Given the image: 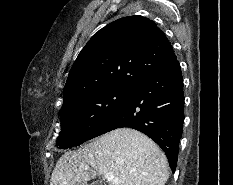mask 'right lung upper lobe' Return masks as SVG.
I'll return each mask as SVG.
<instances>
[{
  "label": "right lung upper lobe",
  "mask_w": 233,
  "mask_h": 185,
  "mask_svg": "<svg viewBox=\"0 0 233 185\" xmlns=\"http://www.w3.org/2000/svg\"><path fill=\"white\" fill-rule=\"evenodd\" d=\"M174 61L170 42L152 20L118 19L99 30L79 53L63 90V106L96 91L130 89Z\"/></svg>",
  "instance_id": "1"
}]
</instances>
